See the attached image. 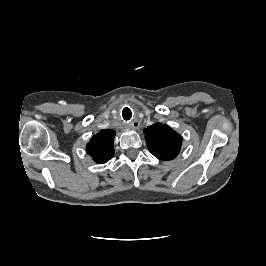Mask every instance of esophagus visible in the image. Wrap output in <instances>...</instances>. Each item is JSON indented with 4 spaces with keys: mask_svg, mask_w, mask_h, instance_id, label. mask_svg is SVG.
<instances>
[{
    "mask_svg": "<svg viewBox=\"0 0 266 266\" xmlns=\"http://www.w3.org/2000/svg\"><path fill=\"white\" fill-rule=\"evenodd\" d=\"M130 127H132L133 129H138L140 127V123L137 120H134L130 123Z\"/></svg>",
    "mask_w": 266,
    "mask_h": 266,
    "instance_id": "esophagus-1",
    "label": "esophagus"
}]
</instances>
